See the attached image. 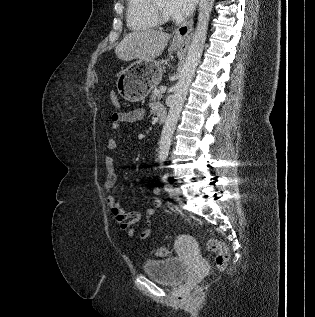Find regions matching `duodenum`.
<instances>
[{
    "mask_svg": "<svg viewBox=\"0 0 315 317\" xmlns=\"http://www.w3.org/2000/svg\"><path fill=\"white\" fill-rule=\"evenodd\" d=\"M158 118L160 122L164 123L167 119V111L164 108H161L157 111Z\"/></svg>",
    "mask_w": 315,
    "mask_h": 317,
    "instance_id": "duodenum-1",
    "label": "duodenum"
}]
</instances>
